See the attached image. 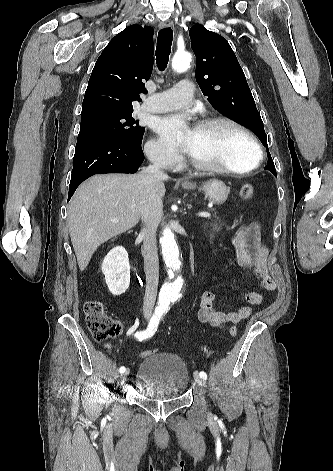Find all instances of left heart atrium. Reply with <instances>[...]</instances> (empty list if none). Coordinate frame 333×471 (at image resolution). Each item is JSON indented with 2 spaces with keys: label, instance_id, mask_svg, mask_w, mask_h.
<instances>
[{
  "label": "left heart atrium",
  "instance_id": "1",
  "mask_svg": "<svg viewBox=\"0 0 333 471\" xmlns=\"http://www.w3.org/2000/svg\"><path fill=\"white\" fill-rule=\"evenodd\" d=\"M186 122L187 118L183 115L164 117L157 122L156 130L169 145L190 152V136L194 130L190 131L183 141L180 140Z\"/></svg>",
  "mask_w": 333,
  "mask_h": 471
}]
</instances>
